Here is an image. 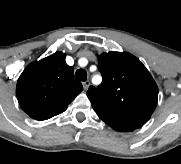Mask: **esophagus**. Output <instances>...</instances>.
I'll list each match as a JSON object with an SVG mask.
<instances>
[{
	"mask_svg": "<svg viewBox=\"0 0 181 164\" xmlns=\"http://www.w3.org/2000/svg\"><path fill=\"white\" fill-rule=\"evenodd\" d=\"M82 84H83L84 89L87 90L90 86V81L89 80L84 81Z\"/></svg>",
	"mask_w": 181,
	"mask_h": 164,
	"instance_id": "34e87169",
	"label": "esophagus"
}]
</instances>
